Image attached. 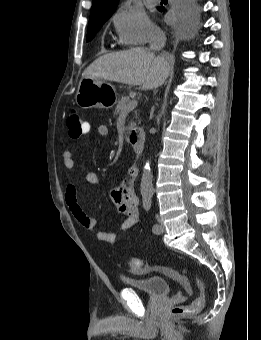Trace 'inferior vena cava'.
Segmentation results:
<instances>
[{"label": "inferior vena cava", "mask_w": 261, "mask_h": 340, "mask_svg": "<svg viewBox=\"0 0 261 340\" xmlns=\"http://www.w3.org/2000/svg\"><path fill=\"white\" fill-rule=\"evenodd\" d=\"M165 43H166V37H165L164 32L159 28L153 29L149 37L150 50L160 51L165 46Z\"/></svg>", "instance_id": "inferior-vena-cava-1"}]
</instances>
